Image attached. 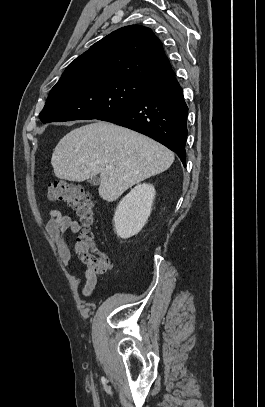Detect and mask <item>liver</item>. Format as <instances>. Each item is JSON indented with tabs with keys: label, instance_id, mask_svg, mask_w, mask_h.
Segmentation results:
<instances>
[{
	"label": "liver",
	"instance_id": "liver-1",
	"mask_svg": "<svg viewBox=\"0 0 265 407\" xmlns=\"http://www.w3.org/2000/svg\"><path fill=\"white\" fill-rule=\"evenodd\" d=\"M174 154L133 130L98 121L66 134L55 147V176L82 182L100 174L99 195L112 202L133 185L167 170ZM111 166V169H106Z\"/></svg>",
	"mask_w": 265,
	"mask_h": 407
}]
</instances>
